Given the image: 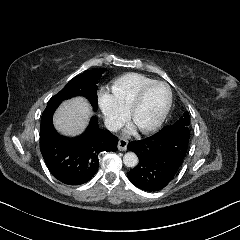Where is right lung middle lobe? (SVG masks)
Wrapping results in <instances>:
<instances>
[{
    "label": "right lung middle lobe",
    "mask_w": 240,
    "mask_h": 240,
    "mask_svg": "<svg viewBox=\"0 0 240 240\" xmlns=\"http://www.w3.org/2000/svg\"><path fill=\"white\" fill-rule=\"evenodd\" d=\"M104 71V68L92 69L71 79L59 93L50 99L42 114L41 121L51 118L54 111L62 101L76 96H83L88 99V101L92 104L93 109L96 110L98 108L97 83Z\"/></svg>",
    "instance_id": "right-lung-middle-lobe-1"
}]
</instances>
